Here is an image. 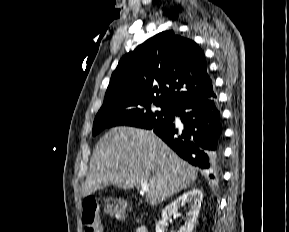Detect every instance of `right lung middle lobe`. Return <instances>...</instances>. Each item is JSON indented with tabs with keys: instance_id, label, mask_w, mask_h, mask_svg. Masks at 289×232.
Listing matches in <instances>:
<instances>
[{
	"instance_id": "dd1d6c3e",
	"label": "right lung middle lobe",
	"mask_w": 289,
	"mask_h": 232,
	"mask_svg": "<svg viewBox=\"0 0 289 232\" xmlns=\"http://www.w3.org/2000/svg\"><path fill=\"white\" fill-rule=\"evenodd\" d=\"M175 108L135 97H113L104 100L93 125V136L103 129L125 125L144 129L170 123Z\"/></svg>"
}]
</instances>
